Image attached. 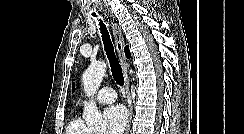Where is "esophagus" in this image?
<instances>
[{
  "mask_svg": "<svg viewBox=\"0 0 244 134\" xmlns=\"http://www.w3.org/2000/svg\"><path fill=\"white\" fill-rule=\"evenodd\" d=\"M110 26H111L112 33L114 36L115 46H116V50L118 53V57L120 60V64H121L122 72H123V77H124V95L127 99L128 114H129L128 124H127L125 134H129L133 110H132V106L130 105L128 62H127V58H126L125 52H124L125 41H124V37H123V34H122L120 27L112 21L110 22Z\"/></svg>",
  "mask_w": 244,
  "mask_h": 134,
  "instance_id": "34e87169",
  "label": "esophagus"
}]
</instances>
